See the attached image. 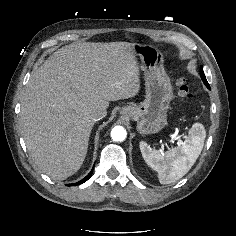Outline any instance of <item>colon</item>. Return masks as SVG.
I'll return each instance as SVG.
<instances>
[{"label":"colon","mask_w":236,"mask_h":236,"mask_svg":"<svg viewBox=\"0 0 236 236\" xmlns=\"http://www.w3.org/2000/svg\"><path fill=\"white\" fill-rule=\"evenodd\" d=\"M178 85V94L180 97L191 100L194 98V93L190 90L189 86L186 83V80L183 77H179L177 81Z\"/></svg>","instance_id":"1"}]
</instances>
